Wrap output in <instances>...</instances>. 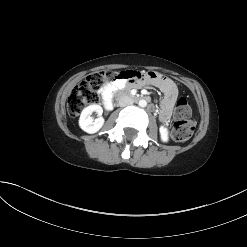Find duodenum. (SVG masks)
Here are the masks:
<instances>
[{
  "mask_svg": "<svg viewBox=\"0 0 247 247\" xmlns=\"http://www.w3.org/2000/svg\"><path fill=\"white\" fill-rule=\"evenodd\" d=\"M131 96L133 100H140V99H145L149 100L147 96H139V95H132V91L126 90V89H120L117 94H114L113 96V105L117 106L119 103V99L121 96Z\"/></svg>",
  "mask_w": 247,
  "mask_h": 247,
  "instance_id": "1",
  "label": "duodenum"
}]
</instances>
